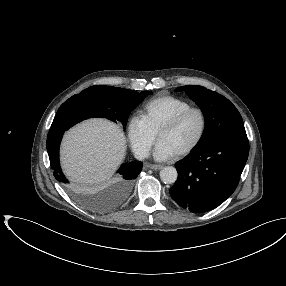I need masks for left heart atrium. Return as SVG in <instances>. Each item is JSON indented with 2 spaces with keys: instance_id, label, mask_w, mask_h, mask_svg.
<instances>
[{
  "instance_id": "left-heart-atrium-1",
  "label": "left heart atrium",
  "mask_w": 286,
  "mask_h": 286,
  "mask_svg": "<svg viewBox=\"0 0 286 286\" xmlns=\"http://www.w3.org/2000/svg\"><path fill=\"white\" fill-rule=\"evenodd\" d=\"M176 155V152L164 141L159 140L156 145L154 156L158 160H167Z\"/></svg>"
}]
</instances>
